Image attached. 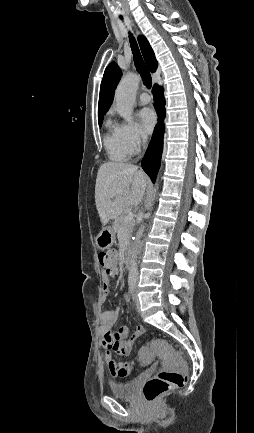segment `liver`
Instances as JSON below:
<instances>
[{
  "instance_id": "6515ba94",
  "label": "liver",
  "mask_w": 254,
  "mask_h": 433,
  "mask_svg": "<svg viewBox=\"0 0 254 433\" xmlns=\"http://www.w3.org/2000/svg\"><path fill=\"white\" fill-rule=\"evenodd\" d=\"M147 176L129 163L107 162L100 166L95 185V203L100 221L105 226L124 210L141 203ZM120 191V194L113 196Z\"/></svg>"
}]
</instances>
